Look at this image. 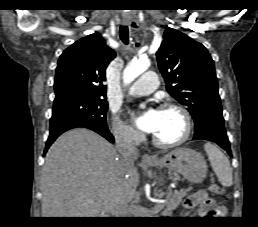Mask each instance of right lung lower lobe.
I'll return each instance as SVG.
<instances>
[{
	"label": "right lung lower lobe",
	"instance_id": "obj_1",
	"mask_svg": "<svg viewBox=\"0 0 258 227\" xmlns=\"http://www.w3.org/2000/svg\"><path fill=\"white\" fill-rule=\"evenodd\" d=\"M76 127H85V128L91 129L97 132L98 134L102 135L111 143L114 142V137L112 136L108 128L93 127L77 119H73L69 117H54V118H51L50 120V134L46 142L44 154H46L50 145L56 140V138L59 135H61L63 132L69 129L76 128Z\"/></svg>",
	"mask_w": 258,
	"mask_h": 227
}]
</instances>
